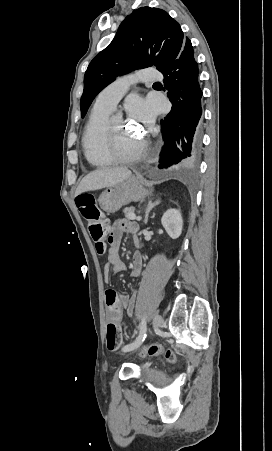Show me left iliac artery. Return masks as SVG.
Masks as SVG:
<instances>
[{"label":"left iliac artery","instance_id":"44dca946","mask_svg":"<svg viewBox=\"0 0 272 451\" xmlns=\"http://www.w3.org/2000/svg\"><path fill=\"white\" fill-rule=\"evenodd\" d=\"M146 338V321H145V317H143L141 324H140V333L138 335V337L136 338V340L126 346L123 347V351L127 352V351H131L135 348H137L138 346H140L142 344V342L145 340Z\"/></svg>","mask_w":272,"mask_h":451}]
</instances>
